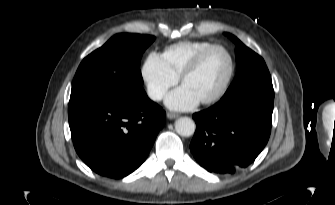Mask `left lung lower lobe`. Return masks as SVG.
Masks as SVG:
<instances>
[{"mask_svg":"<svg viewBox=\"0 0 335 205\" xmlns=\"http://www.w3.org/2000/svg\"><path fill=\"white\" fill-rule=\"evenodd\" d=\"M273 104L274 98L244 92L195 113L197 129L190 149L196 161L221 174L247 167L268 142Z\"/></svg>","mask_w":335,"mask_h":205,"instance_id":"0a47b994","label":"left lung lower lobe"}]
</instances>
